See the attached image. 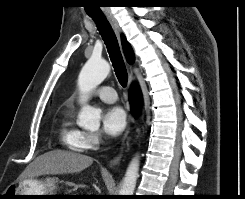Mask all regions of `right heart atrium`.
<instances>
[{
    "instance_id": "1",
    "label": "right heart atrium",
    "mask_w": 245,
    "mask_h": 199,
    "mask_svg": "<svg viewBox=\"0 0 245 199\" xmlns=\"http://www.w3.org/2000/svg\"><path fill=\"white\" fill-rule=\"evenodd\" d=\"M84 141L87 149H95L102 143V137L99 133L88 132L84 135Z\"/></svg>"
}]
</instances>
